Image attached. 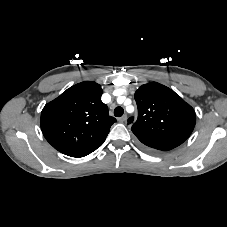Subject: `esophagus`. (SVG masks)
I'll list each match as a JSON object with an SVG mask.
<instances>
[{
	"mask_svg": "<svg viewBox=\"0 0 227 227\" xmlns=\"http://www.w3.org/2000/svg\"><path fill=\"white\" fill-rule=\"evenodd\" d=\"M126 119H127V115H123L122 117L118 118V121L123 123L126 121Z\"/></svg>",
	"mask_w": 227,
	"mask_h": 227,
	"instance_id": "34e87169",
	"label": "esophagus"
}]
</instances>
